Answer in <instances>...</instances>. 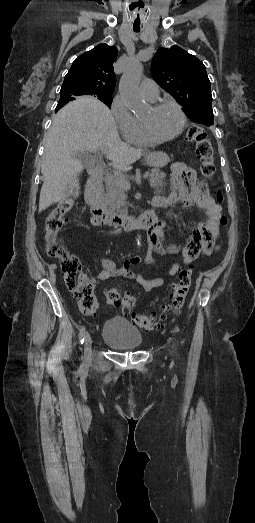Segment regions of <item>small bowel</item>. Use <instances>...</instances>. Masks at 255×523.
<instances>
[{
    "label": "small bowel",
    "mask_w": 255,
    "mask_h": 523,
    "mask_svg": "<svg viewBox=\"0 0 255 523\" xmlns=\"http://www.w3.org/2000/svg\"><path fill=\"white\" fill-rule=\"evenodd\" d=\"M180 175V179L173 180V191L166 198L168 206L180 204L182 207H197L203 211L205 219L191 229L188 241L182 245H163L164 229L166 223L158 221L149 230L148 245L143 257H130L125 260L123 266L117 267L115 262L107 257H102L100 262L102 270L87 279L95 284L99 281L107 280L111 277L121 276L126 279L136 281L144 290L151 291L164 284L163 278L146 279L142 273L135 272L133 267L144 261L148 265L156 264L153 253H180L184 264H191L200 255H209L212 252L216 237L219 234V220L221 217V207L216 204L211 197L206 184L201 181L194 169L180 164L175 167ZM92 222V221H91ZM180 270V265L174 263L170 270V275H175Z\"/></svg>",
    "instance_id": "obj_1"
}]
</instances>
